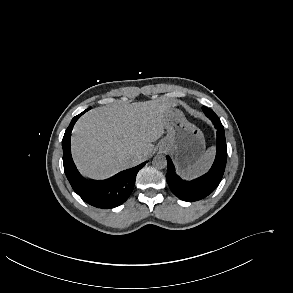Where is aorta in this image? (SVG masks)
<instances>
[{
    "label": "aorta",
    "mask_w": 293,
    "mask_h": 293,
    "mask_svg": "<svg viewBox=\"0 0 293 293\" xmlns=\"http://www.w3.org/2000/svg\"><path fill=\"white\" fill-rule=\"evenodd\" d=\"M152 164L155 168L163 169L167 166L166 157L163 155H157L153 158Z\"/></svg>",
    "instance_id": "762f6f07"
}]
</instances>
